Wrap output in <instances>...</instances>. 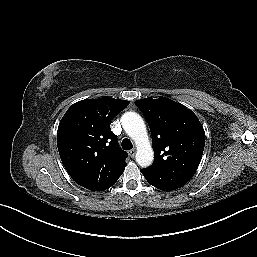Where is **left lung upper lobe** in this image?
I'll return each mask as SVG.
<instances>
[{
    "label": "left lung upper lobe",
    "mask_w": 257,
    "mask_h": 257,
    "mask_svg": "<svg viewBox=\"0 0 257 257\" xmlns=\"http://www.w3.org/2000/svg\"><path fill=\"white\" fill-rule=\"evenodd\" d=\"M152 134L155 154L150 171L169 170L192 178L201 161L205 132L196 115L165 97L137 100Z\"/></svg>",
    "instance_id": "1"
}]
</instances>
